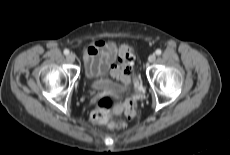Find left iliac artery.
<instances>
[{
	"mask_svg": "<svg viewBox=\"0 0 230 155\" xmlns=\"http://www.w3.org/2000/svg\"><path fill=\"white\" fill-rule=\"evenodd\" d=\"M155 53H156V55H160V54L162 53V51H161L160 49H157V50L155 51Z\"/></svg>",
	"mask_w": 230,
	"mask_h": 155,
	"instance_id": "obj_1",
	"label": "left iliac artery"
}]
</instances>
